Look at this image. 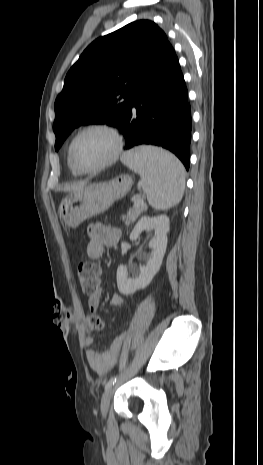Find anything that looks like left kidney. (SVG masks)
<instances>
[{"label": "left kidney", "mask_w": 263, "mask_h": 465, "mask_svg": "<svg viewBox=\"0 0 263 465\" xmlns=\"http://www.w3.org/2000/svg\"><path fill=\"white\" fill-rule=\"evenodd\" d=\"M154 229L155 236L149 242L152 249L145 265L140 266L139 273L128 277L126 267L120 265L117 269V286L123 295H130L138 289L145 288L159 271L167 247V234L169 232V218L166 215L157 217H142L130 234V240H136L146 230Z\"/></svg>", "instance_id": "left-kidney-1"}]
</instances>
